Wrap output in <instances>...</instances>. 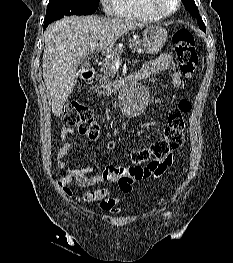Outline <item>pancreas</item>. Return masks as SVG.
Returning a JSON list of instances; mask_svg holds the SVG:
<instances>
[{"label":"pancreas","mask_w":233,"mask_h":263,"mask_svg":"<svg viewBox=\"0 0 233 263\" xmlns=\"http://www.w3.org/2000/svg\"><path fill=\"white\" fill-rule=\"evenodd\" d=\"M130 47H134V49H141L142 43L138 39H134L130 42ZM122 53L121 48H116L112 53H111V58L106 61V63L102 66L101 71L102 74H100L97 77L98 84L96 85V89L102 88L103 90L100 92L103 95H109V89H108V78L112 75L114 72V69L112 68V63L116 62L120 58V54Z\"/></svg>","instance_id":"cf45deb5"}]
</instances>
